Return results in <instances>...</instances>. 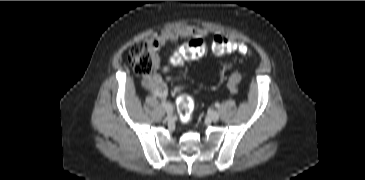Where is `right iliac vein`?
Wrapping results in <instances>:
<instances>
[{
	"mask_svg": "<svg viewBox=\"0 0 365 180\" xmlns=\"http://www.w3.org/2000/svg\"><path fill=\"white\" fill-rule=\"evenodd\" d=\"M164 109L168 115H171L173 113V107L171 104H167L166 106H164Z\"/></svg>",
	"mask_w": 365,
	"mask_h": 180,
	"instance_id": "right-iliac-vein-1",
	"label": "right iliac vein"
}]
</instances>
